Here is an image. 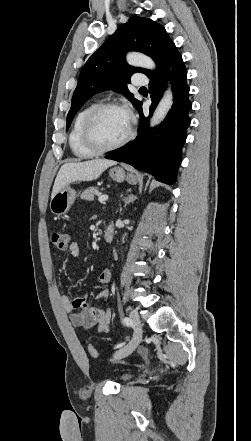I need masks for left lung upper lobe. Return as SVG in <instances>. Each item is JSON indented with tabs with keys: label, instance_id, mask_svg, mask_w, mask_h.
<instances>
[{
	"label": "left lung upper lobe",
	"instance_id": "left-lung-upper-lobe-1",
	"mask_svg": "<svg viewBox=\"0 0 251 441\" xmlns=\"http://www.w3.org/2000/svg\"><path fill=\"white\" fill-rule=\"evenodd\" d=\"M174 45L165 28L151 19L134 16L121 25L82 68L67 115L66 129L83 104L102 91L121 92L137 108L141 101L134 98L127 83L135 72L144 73L148 78L155 72L129 66L125 53L130 50L143 52L156 62L159 69Z\"/></svg>",
	"mask_w": 251,
	"mask_h": 441
}]
</instances>
